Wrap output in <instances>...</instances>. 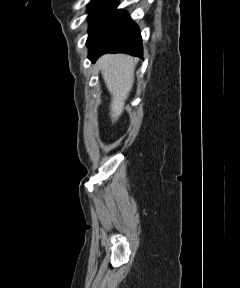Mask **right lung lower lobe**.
<instances>
[{"label":"right lung lower lobe","mask_w":240,"mask_h":288,"mask_svg":"<svg viewBox=\"0 0 240 288\" xmlns=\"http://www.w3.org/2000/svg\"><path fill=\"white\" fill-rule=\"evenodd\" d=\"M87 45L93 62L104 53L142 56L143 50L138 26L121 10H115L108 17Z\"/></svg>","instance_id":"1"}]
</instances>
